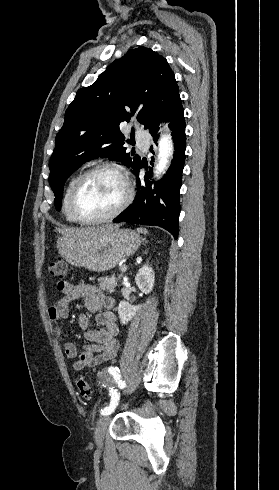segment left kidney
<instances>
[{
	"label": "left kidney",
	"mask_w": 279,
	"mask_h": 490,
	"mask_svg": "<svg viewBox=\"0 0 279 490\" xmlns=\"http://www.w3.org/2000/svg\"><path fill=\"white\" fill-rule=\"evenodd\" d=\"M135 282L142 294H150L154 288L155 282L153 268H150L148 264L142 266L136 274ZM141 308V304H138V306H131L129 302L122 300L117 308L120 324H122V326H127L128 322H131L132 318L136 316L138 310H141Z\"/></svg>",
	"instance_id": "5707ae66"
}]
</instances>
